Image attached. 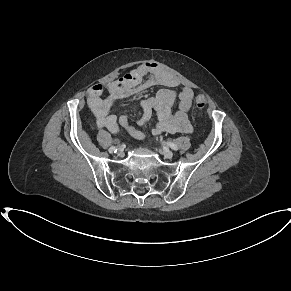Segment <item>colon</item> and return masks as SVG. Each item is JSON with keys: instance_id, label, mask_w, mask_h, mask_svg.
<instances>
[{"instance_id": "obj_1", "label": "colon", "mask_w": 291, "mask_h": 291, "mask_svg": "<svg viewBox=\"0 0 291 291\" xmlns=\"http://www.w3.org/2000/svg\"><path fill=\"white\" fill-rule=\"evenodd\" d=\"M194 105L198 110H203L206 107L207 101L202 94H195L193 96Z\"/></svg>"}]
</instances>
